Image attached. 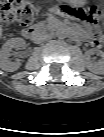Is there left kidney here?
Instances as JSON below:
<instances>
[{
	"label": "left kidney",
	"mask_w": 104,
	"mask_h": 137,
	"mask_svg": "<svg viewBox=\"0 0 104 137\" xmlns=\"http://www.w3.org/2000/svg\"><path fill=\"white\" fill-rule=\"evenodd\" d=\"M99 54H101V56H103L102 51H99ZM88 68L93 72L100 73L104 69V62L98 61L96 63H92L91 61H88Z\"/></svg>",
	"instance_id": "1"
}]
</instances>
